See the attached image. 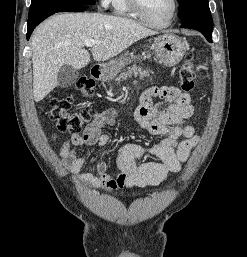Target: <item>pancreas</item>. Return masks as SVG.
<instances>
[{
    "mask_svg": "<svg viewBox=\"0 0 247 257\" xmlns=\"http://www.w3.org/2000/svg\"><path fill=\"white\" fill-rule=\"evenodd\" d=\"M150 72L151 71L148 70H142L141 67L134 64L131 67L124 69L123 71H119L120 74L115 78V81L119 83L120 81L131 78L132 76H139L140 78L148 77Z\"/></svg>",
    "mask_w": 247,
    "mask_h": 257,
    "instance_id": "cf45deb5",
    "label": "pancreas"
}]
</instances>
